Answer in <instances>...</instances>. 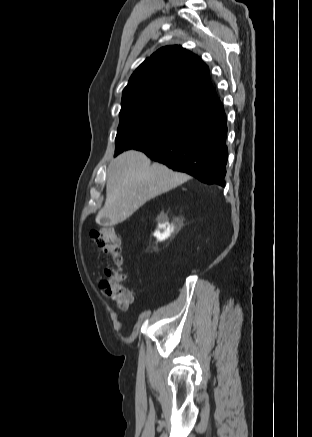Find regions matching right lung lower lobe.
<instances>
[{
	"mask_svg": "<svg viewBox=\"0 0 312 437\" xmlns=\"http://www.w3.org/2000/svg\"><path fill=\"white\" fill-rule=\"evenodd\" d=\"M226 116L218 101L199 111L182 129L137 150L175 171L188 173L206 184L225 186L228 150Z\"/></svg>",
	"mask_w": 312,
	"mask_h": 437,
	"instance_id": "obj_1",
	"label": "right lung lower lobe"
}]
</instances>
